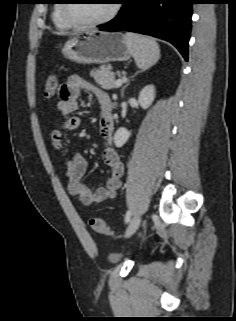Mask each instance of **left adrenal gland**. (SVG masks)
<instances>
[{"instance_id": "obj_1", "label": "left adrenal gland", "mask_w": 236, "mask_h": 321, "mask_svg": "<svg viewBox=\"0 0 236 321\" xmlns=\"http://www.w3.org/2000/svg\"><path fill=\"white\" fill-rule=\"evenodd\" d=\"M137 73H135L132 78L136 75ZM129 85V81L126 83V85L121 89V95H124V90L126 89V87Z\"/></svg>"}]
</instances>
